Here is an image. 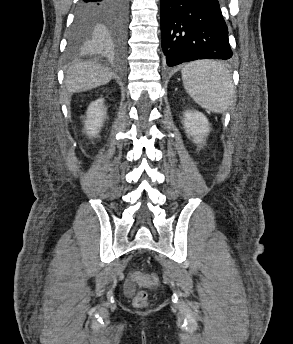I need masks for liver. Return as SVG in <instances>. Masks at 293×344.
I'll return each mask as SVG.
<instances>
[{"label": "liver", "mask_w": 293, "mask_h": 344, "mask_svg": "<svg viewBox=\"0 0 293 344\" xmlns=\"http://www.w3.org/2000/svg\"><path fill=\"white\" fill-rule=\"evenodd\" d=\"M113 73L106 67L92 61L71 65L66 73L65 86L70 93H79L107 84Z\"/></svg>", "instance_id": "1"}]
</instances>
